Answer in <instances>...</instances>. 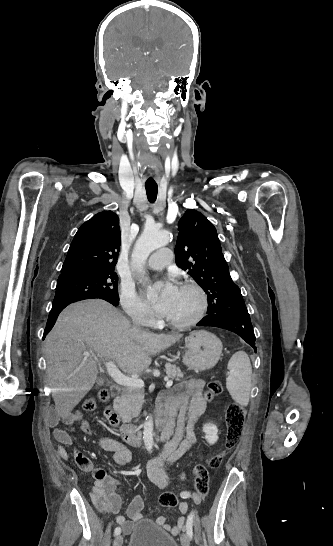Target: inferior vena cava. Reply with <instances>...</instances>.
I'll return each mask as SVG.
<instances>
[{
  "instance_id": "obj_1",
  "label": "inferior vena cava",
  "mask_w": 333,
  "mask_h": 546,
  "mask_svg": "<svg viewBox=\"0 0 333 546\" xmlns=\"http://www.w3.org/2000/svg\"><path fill=\"white\" fill-rule=\"evenodd\" d=\"M132 321H133V324H134L133 330L134 331H139L140 326L143 325L140 318L138 316H132Z\"/></svg>"
}]
</instances>
